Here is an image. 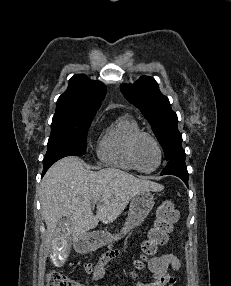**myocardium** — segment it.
Wrapping results in <instances>:
<instances>
[{"instance_id":"1","label":"myocardium","mask_w":231,"mask_h":286,"mask_svg":"<svg viewBox=\"0 0 231 286\" xmlns=\"http://www.w3.org/2000/svg\"><path fill=\"white\" fill-rule=\"evenodd\" d=\"M143 137L150 139L155 144V146L158 150L159 161H158V164L156 165V167L153 168L152 170L142 169L140 167L138 161H137L136 146H137L138 141ZM128 153H129V157L131 159V162L133 163L136 170H138L142 173H145V174H150V173L155 172L156 170H158V168L161 166V164L163 162V149H162L160 142L158 141V139L153 134H151L147 131L139 130L131 136V138L129 140V145H128Z\"/></svg>"}]
</instances>
